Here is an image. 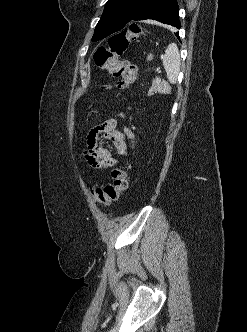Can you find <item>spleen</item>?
<instances>
[{
    "label": "spleen",
    "instance_id": "spleen-1",
    "mask_svg": "<svg viewBox=\"0 0 247 332\" xmlns=\"http://www.w3.org/2000/svg\"><path fill=\"white\" fill-rule=\"evenodd\" d=\"M163 66L167 73L168 81L171 84H176L180 72V54L176 44L171 43L166 48L163 55ZM158 91L165 92L162 88H159Z\"/></svg>",
    "mask_w": 247,
    "mask_h": 332
}]
</instances>
